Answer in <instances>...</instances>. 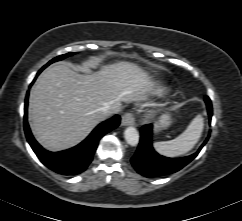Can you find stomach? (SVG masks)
Wrapping results in <instances>:
<instances>
[{"instance_id": "1", "label": "stomach", "mask_w": 242, "mask_h": 221, "mask_svg": "<svg viewBox=\"0 0 242 221\" xmlns=\"http://www.w3.org/2000/svg\"><path fill=\"white\" fill-rule=\"evenodd\" d=\"M171 124V118L168 114L162 115L159 123L155 125V131H159L161 129H164L168 127Z\"/></svg>"}]
</instances>
